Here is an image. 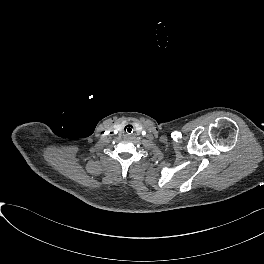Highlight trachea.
<instances>
[{"instance_id": "trachea-1", "label": "trachea", "mask_w": 264, "mask_h": 264, "mask_svg": "<svg viewBox=\"0 0 264 264\" xmlns=\"http://www.w3.org/2000/svg\"><path fill=\"white\" fill-rule=\"evenodd\" d=\"M124 131L126 134L130 135L134 132V127L132 124H127L125 127H124Z\"/></svg>"}]
</instances>
